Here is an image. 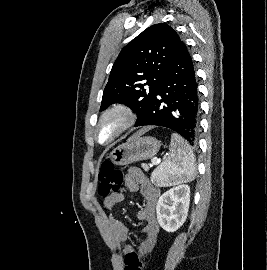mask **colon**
<instances>
[{"label": "colon", "instance_id": "1", "mask_svg": "<svg viewBox=\"0 0 267 270\" xmlns=\"http://www.w3.org/2000/svg\"><path fill=\"white\" fill-rule=\"evenodd\" d=\"M123 180L121 170L116 168L110 161H104L99 171L98 194L101 197H108L116 193ZM124 270H142V260L138 252L132 250L125 254Z\"/></svg>", "mask_w": 267, "mask_h": 270}]
</instances>
